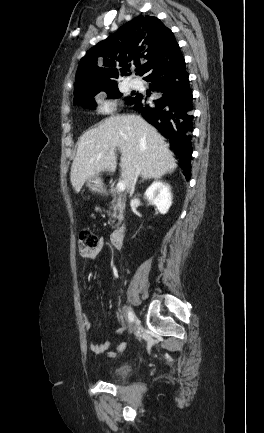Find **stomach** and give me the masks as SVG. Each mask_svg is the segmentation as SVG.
Listing matches in <instances>:
<instances>
[{
	"instance_id": "0dacf381",
	"label": "stomach",
	"mask_w": 264,
	"mask_h": 433,
	"mask_svg": "<svg viewBox=\"0 0 264 433\" xmlns=\"http://www.w3.org/2000/svg\"><path fill=\"white\" fill-rule=\"evenodd\" d=\"M86 186L92 193L102 194L105 192L103 182L99 176L89 178Z\"/></svg>"
}]
</instances>
